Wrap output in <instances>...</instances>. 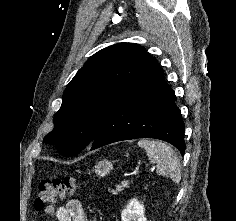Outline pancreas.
Instances as JSON below:
<instances>
[{
    "instance_id": "1",
    "label": "pancreas",
    "mask_w": 236,
    "mask_h": 221,
    "mask_svg": "<svg viewBox=\"0 0 236 221\" xmlns=\"http://www.w3.org/2000/svg\"><path fill=\"white\" fill-rule=\"evenodd\" d=\"M112 194L116 195L118 192H122L123 191V187L121 185H118L116 187V190L112 189V190H109Z\"/></svg>"
}]
</instances>
